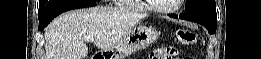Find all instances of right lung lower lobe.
<instances>
[{
  "label": "right lung lower lobe",
  "instance_id": "98d812e1",
  "mask_svg": "<svg viewBox=\"0 0 261 59\" xmlns=\"http://www.w3.org/2000/svg\"><path fill=\"white\" fill-rule=\"evenodd\" d=\"M96 5L95 0H63L52 6L51 8L44 11L42 14H38L39 27L38 29L43 30L55 17L59 14L79 8H87Z\"/></svg>",
  "mask_w": 261,
  "mask_h": 59
}]
</instances>
